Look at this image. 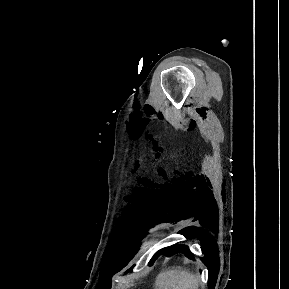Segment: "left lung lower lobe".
<instances>
[{
	"instance_id": "obj_1",
	"label": "left lung lower lobe",
	"mask_w": 289,
	"mask_h": 289,
	"mask_svg": "<svg viewBox=\"0 0 289 289\" xmlns=\"http://www.w3.org/2000/svg\"><path fill=\"white\" fill-rule=\"evenodd\" d=\"M163 252L166 253L168 256H171L177 252H181V250H176L174 248L169 247V248H166V249L161 251V253H163Z\"/></svg>"
}]
</instances>
